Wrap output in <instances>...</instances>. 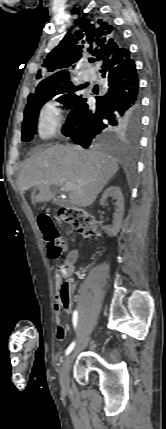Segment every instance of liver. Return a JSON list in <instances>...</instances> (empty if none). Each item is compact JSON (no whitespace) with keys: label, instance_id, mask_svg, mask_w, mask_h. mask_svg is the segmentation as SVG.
Listing matches in <instances>:
<instances>
[{"label":"liver","instance_id":"6515ba94","mask_svg":"<svg viewBox=\"0 0 166 429\" xmlns=\"http://www.w3.org/2000/svg\"><path fill=\"white\" fill-rule=\"evenodd\" d=\"M119 166L112 156L100 151H86L77 146L55 145L35 154L24 164L18 178L21 193L37 187L35 202L54 197L51 186L73 185L69 201L79 207L90 206Z\"/></svg>","mask_w":166,"mask_h":429}]
</instances>
